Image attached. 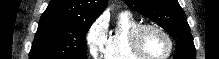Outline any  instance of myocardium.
I'll list each match as a JSON object with an SVG mask.
<instances>
[{"mask_svg": "<svg viewBox=\"0 0 219 59\" xmlns=\"http://www.w3.org/2000/svg\"><path fill=\"white\" fill-rule=\"evenodd\" d=\"M147 29H154L160 32L168 41L169 49L167 53L162 57H151L148 56L142 49L141 46V36L143 32ZM130 48L131 51L141 59H168L174 49V42L170 34L161 26L154 23H141L137 25L131 33L130 36Z\"/></svg>", "mask_w": 219, "mask_h": 59, "instance_id": "1", "label": "myocardium"}]
</instances>
